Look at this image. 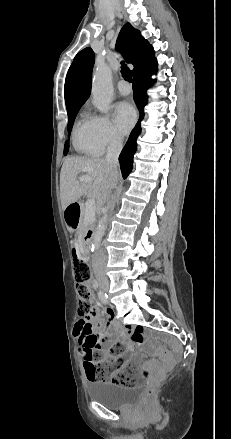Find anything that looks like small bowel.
Returning a JSON list of instances; mask_svg holds the SVG:
<instances>
[{"label": "small bowel", "instance_id": "1", "mask_svg": "<svg viewBox=\"0 0 231 439\" xmlns=\"http://www.w3.org/2000/svg\"><path fill=\"white\" fill-rule=\"evenodd\" d=\"M102 310L96 304L94 305L88 318L79 319L75 324L74 332L78 336L80 344V352L84 354L87 348L101 351L105 358H108L110 345L117 339H121L128 344L129 353L133 354L143 344L142 330L123 329L117 326L113 321L112 310L105 312L106 321L102 323L100 317ZM98 329V332L95 330ZM123 361L122 367H131L135 373L147 375L149 370L145 367L141 368L138 362L133 361L132 357L124 354L121 357ZM114 361H118L114 359Z\"/></svg>", "mask_w": 231, "mask_h": 439}]
</instances>
